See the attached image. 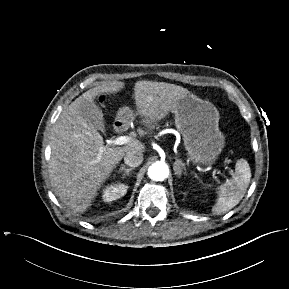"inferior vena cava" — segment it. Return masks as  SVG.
<instances>
[{
	"instance_id": "602c4592",
	"label": "inferior vena cava",
	"mask_w": 289,
	"mask_h": 289,
	"mask_svg": "<svg viewBox=\"0 0 289 289\" xmlns=\"http://www.w3.org/2000/svg\"><path fill=\"white\" fill-rule=\"evenodd\" d=\"M143 161V153L140 151L128 152L124 157V162L130 167H137Z\"/></svg>"
}]
</instances>
